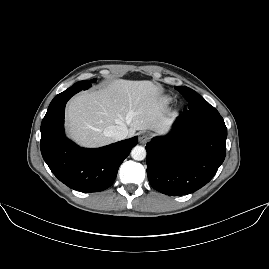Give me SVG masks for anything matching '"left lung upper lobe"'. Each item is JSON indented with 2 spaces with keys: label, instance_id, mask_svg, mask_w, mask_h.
Masks as SVG:
<instances>
[{
  "label": "left lung upper lobe",
  "instance_id": "left-lung-upper-lobe-1",
  "mask_svg": "<svg viewBox=\"0 0 269 269\" xmlns=\"http://www.w3.org/2000/svg\"><path fill=\"white\" fill-rule=\"evenodd\" d=\"M177 90L188 100L189 110L191 116H201L207 114L219 113L213 106H211L203 97L188 87H178Z\"/></svg>",
  "mask_w": 269,
  "mask_h": 269
}]
</instances>
